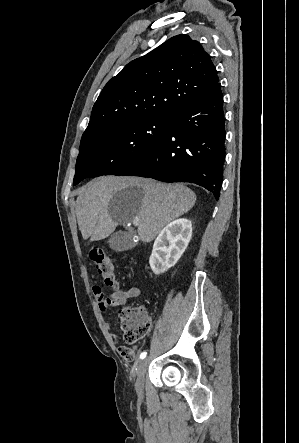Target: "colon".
Masks as SVG:
<instances>
[{"label": "colon", "mask_w": 299, "mask_h": 443, "mask_svg": "<svg viewBox=\"0 0 299 443\" xmlns=\"http://www.w3.org/2000/svg\"><path fill=\"white\" fill-rule=\"evenodd\" d=\"M89 257L95 264L105 285L116 287L115 267L112 258L101 247L92 245L89 248ZM122 339L125 344L132 345L142 340L149 332L151 319L141 307L125 308L119 312ZM128 348L122 349L123 357L130 356Z\"/></svg>", "instance_id": "obj_1"}]
</instances>
